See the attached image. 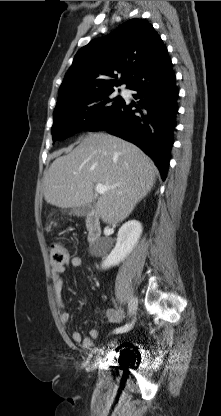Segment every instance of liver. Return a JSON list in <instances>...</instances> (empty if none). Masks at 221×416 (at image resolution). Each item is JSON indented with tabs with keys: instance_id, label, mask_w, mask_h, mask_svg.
Wrapping results in <instances>:
<instances>
[{
	"instance_id": "6515ba94",
	"label": "liver",
	"mask_w": 221,
	"mask_h": 416,
	"mask_svg": "<svg viewBox=\"0 0 221 416\" xmlns=\"http://www.w3.org/2000/svg\"><path fill=\"white\" fill-rule=\"evenodd\" d=\"M156 174L154 162L134 144L107 133H89L50 165L43 196L51 205L79 208L94 200L96 184L109 186L95 208L104 223L116 224L151 191Z\"/></svg>"
}]
</instances>
